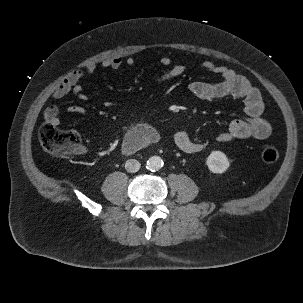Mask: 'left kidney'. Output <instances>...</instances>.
<instances>
[{
    "label": "left kidney",
    "instance_id": "obj_1",
    "mask_svg": "<svg viewBox=\"0 0 303 303\" xmlns=\"http://www.w3.org/2000/svg\"><path fill=\"white\" fill-rule=\"evenodd\" d=\"M206 164L212 173H224L230 166L227 156L221 151H212L206 160Z\"/></svg>",
    "mask_w": 303,
    "mask_h": 303
}]
</instances>
